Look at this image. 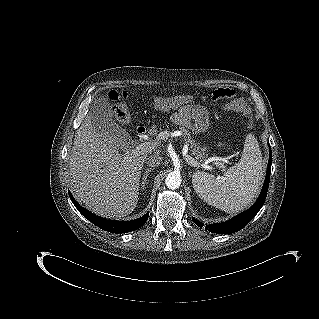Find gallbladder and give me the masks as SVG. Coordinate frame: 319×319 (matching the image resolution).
<instances>
[{
	"instance_id": "bac80fb5",
	"label": "gallbladder",
	"mask_w": 319,
	"mask_h": 319,
	"mask_svg": "<svg viewBox=\"0 0 319 319\" xmlns=\"http://www.w3.org/2000/svg\"><path fill=\"white\" fill-rule=\"evenodd\" d=\"M92 123L96 131L107 140L127 138L128 133L113 119L109 102L104 97H99L92 104Z\"/></svg>"
}]
</instances>
